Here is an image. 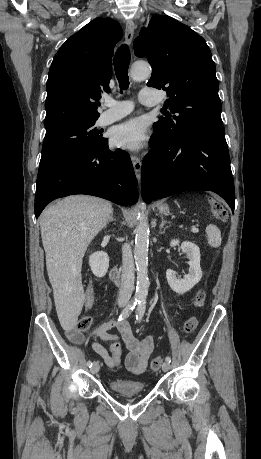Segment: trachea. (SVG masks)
I'll return each mask as SVG.
<instances>
[{"mask_svg": "<svg viewBox=\"0 0 261 459\" xmlns=\"http://www.w3.org/2000/svg\"><path fill=\"white\" fill-rule=\"evenodd\" d=\"M114 70L122 90L129 87L128 68L130 64V50L126 44L121 45L113 59Z\"/></svg>", "mask_w": 261, "mask_h": 459, "instance_id": "obj_1", "label": "trachea"}]
</instances>
